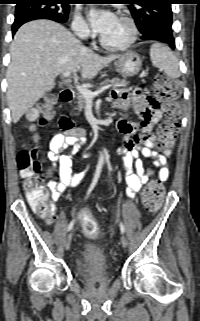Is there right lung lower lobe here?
Segmentation results:
<instances>
[{
  "label": "right lung lower lobe",
  "instance_id": "right-lung-lower-lobe-1",
  "mask_svg": "<svg viewBox=\"0 0 200 321\" xmlns=\"http://www.w3.org/2000/svg\"><path fill=\"white\" fill-rule=\"evenodd\" d=\"M36 19H49V20H53L56 21L58 23L59 20L49 14L46 13H25V14H21L15 17L13 26H12V33L15 34V32L17 31V29L24 23L31 21V20H36Z\"/></svg>",
  "mask_w": 200,
  "mask_h": 321
}]
</instances>
